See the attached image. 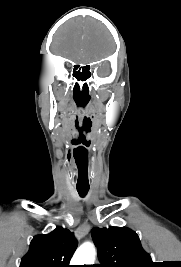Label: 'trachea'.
Segmentation results:
<instances>
[{
  "instance_id": "3493384b",
  "label": "trachea",
  "mask_w": 181,
  "mask_h": 267,
  "mask_svg": "<svg viewBox=\"0 0 181 267\" xmlns=\"http://www.w3.org/2000/svg\"><path fill=\"white\" fill-rule=\"evenodd\" d=\"M77 191H78V193H79V195L81 197H85L86 194L89 191V186H86V187H79V186H77Z\"/></svg>"
}]
</instances>
